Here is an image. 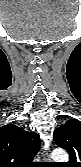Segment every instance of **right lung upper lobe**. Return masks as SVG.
<instances>
[{
    "instance_id": "cb5924a9",
    "label": "right lung upper lobe",
    "mask_w": 81,
    "mask_h": 167,
    "mask_svg": "<svg viewBox=\"0 0 81 167\" xmlns=\"http://www.w3.org/2000/svg\"><path fill=\"white\" fill-rule=\"evenodd\" d=\"M40 147L38 134L8 124L0 128V167H34Z\"/></svg>"
}]
</instances>
